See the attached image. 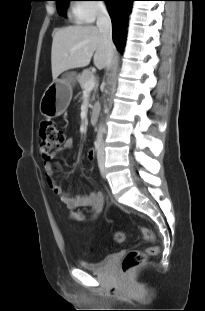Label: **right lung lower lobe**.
<instances>
[{
	"mask_svg": "<svg viewBox=\"0 0 205 311\" xmlns=\"http://www.w3.org/2000/svg\"><path fill=\"white\" fill-rule=\"evenodd\" d=\"M108 11L112 21L113 41L121 52L127 26L128 15L131 10V3L134 0H106Z\"/></svg>",
	"mask_w": 205,
	"mask_h": 311,
	"instance_id": "obj_1",
	"label": "right lung lower lobe"
}]
</instances>
